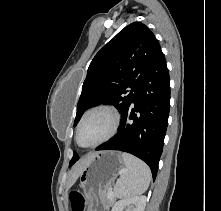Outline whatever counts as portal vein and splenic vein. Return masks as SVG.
<instances>
[{
  "label": "portal vein and splenic vein",
  "mask_w": 221,
  "mask_h": 211,
  "mask_svg": "<svg viewBox=\"0 0 221 211\" xmlns=\"http://www.w3.org/2000/svg\"><path fill=\"white\" fill-rule=\"evenodd\" d=\"M114 196V192L112 191V189H110L108 191V197H113Z\"/></svg>",
  "instance_id": "obj_1"
}]
</instances>
